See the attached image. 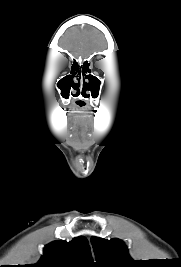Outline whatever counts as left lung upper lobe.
<instances>
[{
	"instance_id": "obj_1",
	"label": "left lung upper lobe",
	"mask_w": 181,
	"mask_h": 267,
	"mask_svg": "<svg viewBox=\"0 0 181 267\" xmlns=\"http://www.w3.org/2000/svg\"><path fill=\"white\" fill-rule=\"evenodd\" d=\"M91 241L96 259L94 267H136L140 264L129 256L127 247L117 238L92 237Z\"/></svg>"
}]
</instances>
